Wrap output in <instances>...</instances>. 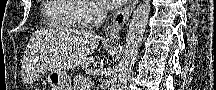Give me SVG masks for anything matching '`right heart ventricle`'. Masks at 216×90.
I'll return each mask as SVG.
<instances>
[{"label":"right heart ventricle","mask_w":216,"mask_h":90,"mask_svg":"<svg viewBox=\"0 0 216 90\" xmlns=\"http://www.w3.org/2000/svg\"><path fill=\"white\" fill-rule=\"evenodd\" d=\"M46 7H42L45 15L44 26L46 28H86L82 19L75 16L85 11L83 4H76L74 0H45Z\"/></svg>","instance_id":"obj_1"}]
</instances>
